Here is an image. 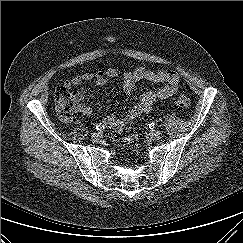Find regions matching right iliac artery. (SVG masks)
Instances as JSON below:
<instances>
[{
    "label": "right iliac artery",
    "instance_id": "obj_1",
    "mask_svg": "<svg viewBox=\"0 0 243 243\" xmlns=\"http://www.w3.org/2000/svg\"><path fill=\"white\" fill-rule=\"evenodd\" d=\"M106 127V124L100 123L96 126V130H104Z\"/></svg>",
    "mask_w": 243,
    "mask_h": 243
}]
</instances>
